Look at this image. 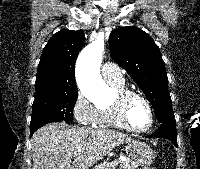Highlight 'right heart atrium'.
Wrapping results in <instances>:
<instances>
[{
  "label": "right heart atrium",
  "mask_w": 200,
  "mask_h": 169,
  "mask_svg": "<svg viewBox=\"0 0 200 169\" xmlns=\"http://www.w3.org/2000/svg\"><path fill=\"white\" fill-rule=\"evenodd\" d=\"M73 115L82 125H96L99 109L81 92L76 94L73 103Z\"/></svg>",
  "instance_id": "obj_1"
}]
</instances>
